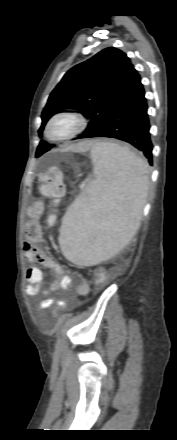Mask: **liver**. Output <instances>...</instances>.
Segmentation results:
<instances>
[{"instance_id": "1", "label": "liver", "mask_w": 177, "mask_h": 440, "mask_svg": "<svg viewBox=\"0 0 177 440\" xmlns=\"http://www.w3.org/2000/svg\"><path fill=\"white\" fill-rule=\"evenodd\" d=\"M91 146H92L91 141H83V142L77 143V144L69 147L68 150H71L73 152H81V151L88 150Z\"/></svg>"}]
</instances>
